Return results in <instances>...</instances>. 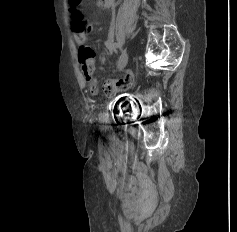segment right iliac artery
<instances>
[{
	"mask_svg": "<svg viewBox=\"0 0 237 232\" xmlns=\"http://www.w3.org/2000/svg\"><path fill=\"white\" fill-rule=\"evenodd\" d=\"M112 46H113L114 48H116V47H118V44L115 43V42H113V43H112Z\"/></svg>",
	"mask_w": 237,
	"mask_h": 232,
	"instance_id": "obj_1",
	"label": "right iliac artery"
}]
</instances>
